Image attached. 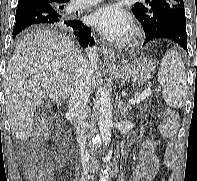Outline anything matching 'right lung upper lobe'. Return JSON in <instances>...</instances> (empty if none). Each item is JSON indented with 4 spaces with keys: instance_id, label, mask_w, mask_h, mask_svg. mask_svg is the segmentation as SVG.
I'll return each instance as SVG.
<instances>
[{
    "instance_id": "obj_1",
    "label": "right lung upper lobe",
    "mask_w": 197,
    "mask_h": 181,
    "mask_svg": "<svg viewBox=\"0 0 197 181\" xmlns=\"http://www.w3.org/2000/svg\"><path fill=\"white\" fill-rule=\"evenodd\" d=\"M43 1L50 3L54 6L65 5L67 2H69V0H43Z\"/></svg>"
}]
</instances>
